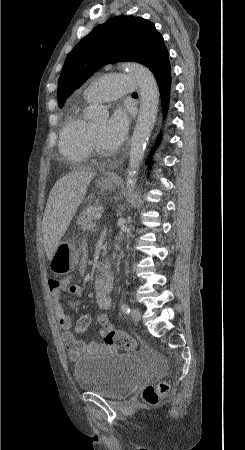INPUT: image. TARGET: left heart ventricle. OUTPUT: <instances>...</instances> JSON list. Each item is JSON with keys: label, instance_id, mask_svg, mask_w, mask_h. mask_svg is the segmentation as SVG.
Masks as SVG:
<instances>
[{"label": "left heart ventricle", "instance_id": "left-heart-ventricle-1", "mask_svg": "<svg viewBox=\"0 0 245 450\" xmlns=\"http://www.w3.org/2000/svg\"><path fill=\"white\" fill-rule=\"evenodd\" d=\"M106 120L103 121H98V122H94L92 123V127L94 130V133L96 135V137L98 138L99 142L106 148V149H110L111 147H109L106 142H105V128H106Z\"/></svg>", "mask_w": 245, "mask_h": 450}]
</instances>
